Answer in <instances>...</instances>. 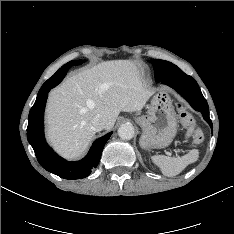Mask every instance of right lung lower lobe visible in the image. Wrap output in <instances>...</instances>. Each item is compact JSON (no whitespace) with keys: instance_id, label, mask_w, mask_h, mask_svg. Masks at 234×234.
Instances as JSON below:
<instances>
[{"instance_id":"1","label":"right lung lower lobe","mask_w":234,"mask_h":234,"mask_svg":"<svg viewBox=\"0 0 234 234\" xmlns=\"http://www.w3.org/2000/svg\"><path fill=\"white\" fill-rule=\"evenodd\" d=\"M70 67V65H63L39 90L28 116L27 139L44 169L64 179H80L87 177L92 168L98 165L102 150L112 132L97 139L87 156L77 162L62 159L46 143L43 117L48 92L62 81Z\"/></svg>"}]
</instances>
